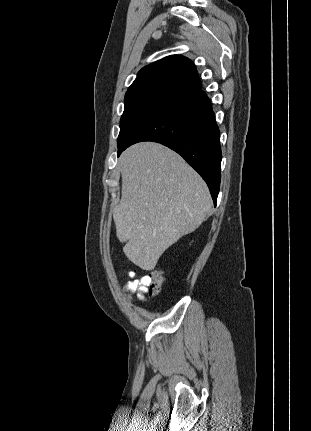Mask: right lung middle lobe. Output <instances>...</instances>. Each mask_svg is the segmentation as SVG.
<instances>
[{
  "label": "right lung middle lobe",
  "instance_id": "right-lung-middle-lobe-1",
  "mask_svg": "<svg viewBox=\"0 0 311 431\" xmlns=\"http://www.w3.org/2000/svg\"><path fill=\"white\" fill-rule=\"evenodd\" d=\"M179 98L178 95L157 89H142L126 93L125 108L121 116L120 133L117 140L118 156L139 127Z\"/></svg>",
  "mask_w": 311,
  "mask_h": 431
}]
</instances>
